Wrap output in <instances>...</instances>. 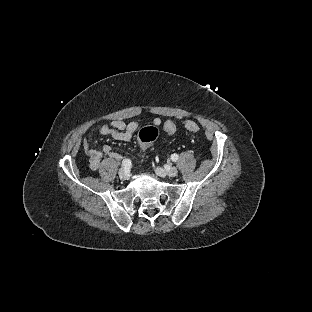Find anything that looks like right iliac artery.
<instances>
[{"label":"right iliac artery","mask_w":312,"mask_h":312,"mask_svg":"<svg viewBox=\"0 0 312 312\" xmlns=\"http://www.w3.org/2000/svg\"><path fill=\"white\" fill-rule=\"evenodd\" d=\"M122 166H123L124 168H130V166H131V160H130V159H124V160L122 161Z\"/></svg>","instance_id":"82829eb1"}]
</instances>
